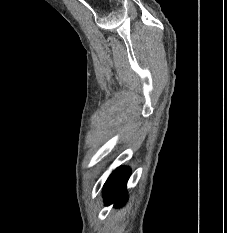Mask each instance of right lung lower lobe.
I'll use <instances>...</instances> for the list:
<instances>
[{
  "instance_id": "right-lung-lower-lobe-1",
  "label": "right lung lower lobe",
  "mask_w": 227,
  "mask_h": 233,
  "mask_svg": "<svg viewBox=\"0 0 227 233\" xmlns=\"http://www.w3.org/2000/svg\"><path fill=\"white\" fill-rule=\"evenodd\" d=\"M130 172L127 167H119L110 175L103 189L106 205L115 203V206H122L124 204L126 200V183Z\"/></svg>"
}]
</instances>
